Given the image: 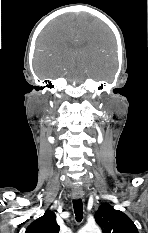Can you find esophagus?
I'll return each mask as SVG.
<instances>
[{"mask_svg": "<svg viewBox=\"0 0 148 233\" xmlns=\"http://www.w3.org/2000/svg\"><path fill=\"white\" fill-rule=\"evenodd\" d=\"M83 195H84L83 191H80V190H74V191H72V197L74 199L82 198Z\"/></svg>", "mask_w": 148, "mask_h": 233, "instance_id": "1", "label": "esophagus"}]
</instances>
